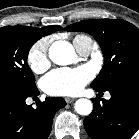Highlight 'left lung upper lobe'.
Listing matches in <instances>:
<instances>
[{"instance_id": "left-lung-upper-lobe-1", "label": "left lung upper lobe", "mask_w": 139, "mask_h": 139, "mask_svg": "<svg viewBox=\"0 0 139 139\" xmlns=\"http://www.w3.org/2000/svg\"><path fill=\"white\" fill-rule=\"evenodd\" d=\"M87 32L99 42L105 57L91 87L106 91L125 75L139 71V29L119 19L83 20L65 28Z\"/></svg>"}]
</instances>
